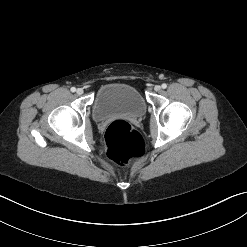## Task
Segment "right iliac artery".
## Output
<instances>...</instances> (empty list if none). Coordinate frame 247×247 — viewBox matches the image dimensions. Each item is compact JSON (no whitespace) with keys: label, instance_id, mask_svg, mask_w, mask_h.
Here are the masks:
<instances>
[{"label":"right iliac artery","instance_id":"right-iliac-artery-1","mask_svg":"<svg viewBox=\"0 0 247 247\" xmlns=\"http://www.w3.org/2000/svg\"><path fill=\"white\" fill-rule=\"evenodd\" d=\"M76 91V88L75 87H72L71 88V92H75Z\"/></svg>","mask_w":247,"mask_h":247}]
</instances>
